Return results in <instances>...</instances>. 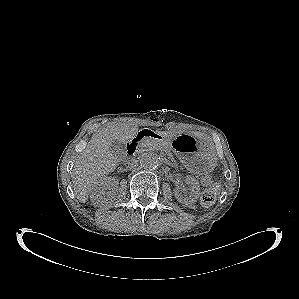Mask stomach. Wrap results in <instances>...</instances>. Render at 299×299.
<instances>
[{
	"label": "stomach",
	"mask_w": 299,
	"mask_h": 299,
	"mask_svg": "<svg viewBox=\"0 0 299 299\" xmlns=\"http://www.w3.org/2000/svg\"><path fill=\"white\" fill-rule=\"evenodd\" d=\"M163 138L164 142L174 150L181 161L192 171L201 173L209 171L212 167V154L197 138L188 135Z\"/></svg>",
	"instance_id": "0dacf381"
}]
</instances>
